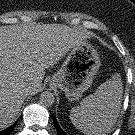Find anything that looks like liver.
Listing matches in <instances>:
<instances>
[{"instance_id":"1","label":"liver","mask_w":135,"mask_h":135,"mask_svg":"<svg viewBox=\"0 0 135 135\" xmlns=\"http://www.w3.org/2000/svg\"><path fill=\"white\" fill-rule=\"evenodd\" d=\"M86 38L84 32L64 25L0 27V130L16 120L29 94L39 92L45 69Z\"/></svg>"}]
</instances>
